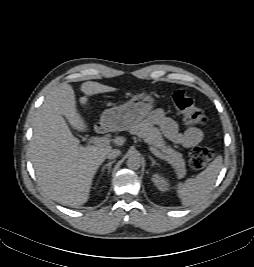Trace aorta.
<instances>
[{
  "mask_svg": "<svg viewBox=\"0 0 254 267\" xmlns=\"http://www.w3.org/2000/svg\"><path fill=\"white\" fill-rule=\"evenodd\" d=\"M127 166L132 170H137L141 166V157L137 153H132L128 160H127Z\"/></svg>",
  "mask_w": 254,
  "mask_h": 267,
  "instance_id": "1",
  "label": "aorta"
}]
</instances>
